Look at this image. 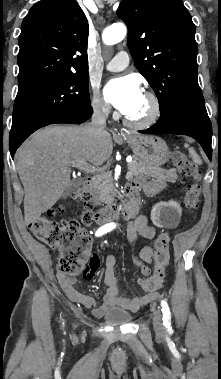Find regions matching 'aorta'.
Listing matches in <instances>:
<instances>
[{
    "label": "aorta",
    "mask_w": 221,
    "mask_h": 379,
    "mask_svg": "<svg viewBox=\"0 0 221 379\" xmlns=\"http://www.w3.org/2000/svg\"><path fill=\"white\" fill-rule=\"evenodd\" d=\"M127 33L126 26L121 23L113 24L103 31L102 39L106 45H114L122 41Z\"/></svg>",
    "instance_id": "1"
}]
</instances>
